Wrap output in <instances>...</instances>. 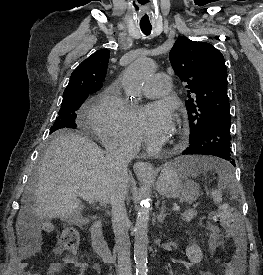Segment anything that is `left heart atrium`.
Returning a JSON list of instances; mask_svg holds the SVG:
<instances>
[{"label": "left heart atrium", "instance_id": "39dd6f15", "mask_svg": "<svg viewBox=\"0 0 263 275\" xmlns=\"http://www.w3.org/2000/svg\"><path fill=\"white\" fill-rule=\"evenodd\" d=\"M136 123L138 132L146 143L159 145L173 127V114L166 104L155 103L138 111Z\"/></svg>", "mask_w": 263, "mask_h": 275}]
</instances>
